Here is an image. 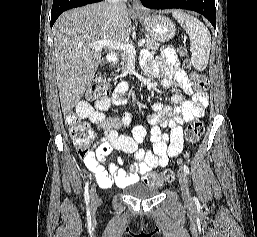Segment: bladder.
Wrapping results in <instances>:
<instances>
[{
    "instance_id": "31cf9c89",
    "label": "bladder",
    "mask_w": 257,
    "mask_h": 237,
    "mask_svg": "<svg viewBox=\"0 0 257 237\" xmlns=\"http://www.w3.org/2000/svg\"><path fill=\"white\" fill-rule=\"evenodd\" d=\"M128 194L132 197H136L139 199H149L153 198L159 193V188L150 186L146 183H142L139 181L131 183L128 187Z\"/></svg>"
}]
</instances>
